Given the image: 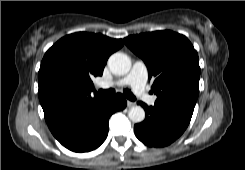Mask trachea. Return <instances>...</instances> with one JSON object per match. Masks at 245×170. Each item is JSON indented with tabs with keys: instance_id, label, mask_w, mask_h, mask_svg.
Wrapping results in <instances>:
<instances>
[{
	"instance_id": "obj_1",
	"label": "trachea",
	"mask_w": 245,
	"mask_h": 170,
	"mask_svg": "<svg viewBox=\"0 0 245 170\" xmlns=\"http://www.w3.org/2000/svg\"><path fill=\"white\" fill-rule=\"evenodd\" d=\"M99 92L102 93L103 95L110 96V95H113L115 93V89H112V88L107 89V90L100 89ZM123 93L127 99H129L131 101L136 100V97L133 95V93L130 90L124 89Z\"/></svg>"
}]
</instances>
